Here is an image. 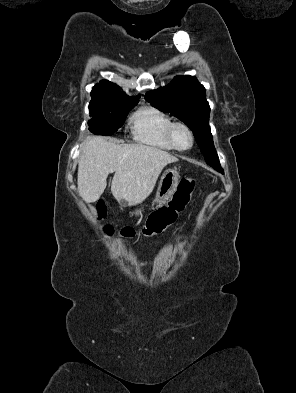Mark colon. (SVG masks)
Listing matches in <instances>:
<instances>
[{"label": "colon", "mask_w": 296, "mask_h": 393, "mask_svg": "<svg viewBox=\"0 0 296 393\" xmlns=\"http://www.w3.org/2000/svg\"><path fill=\"white\" fill-rule=\"evenodd\" d=\"M194 185L195 183L192 179L182 177L172 198L166 204L153 211L140 230H136L133 227H125L121 230V234L132 238L136 235L151 237L163 232L176 220L178 214L188 203L194 190ZM104 213V206L100 205L99 215L103 216ZM103 231L105 234H112L114 230L110 226H106Z\"/></svg>", "instance_id": "5ec220e1"}]
</instances>
